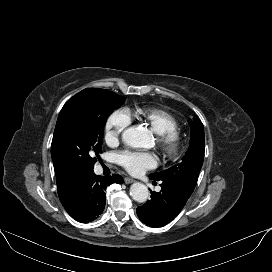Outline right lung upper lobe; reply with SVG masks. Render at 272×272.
<instances>
[{
	"label": "right lung upper lobe",
	"mask_w": 272,
	"mask_h": 272,
	"mask_svg": "<svg viewBox=\"0 0 272 272\" xmlns=\"http://www.w3.org/2000/svg\"><path fill=\"white\" fill-rule=\"evenodd\" d=\"M57 180V190L61 203L66 201L85 176H73L63 161L52 158Z\"/></svg>",
	"instance_id": "1"
}]
</instances>
